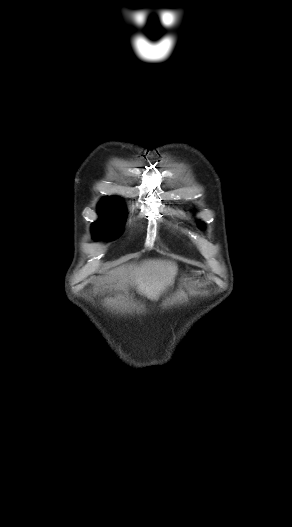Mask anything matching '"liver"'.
<instances>
[{
    "instance_id": "liver-1",
    "label": "liver",
    "mask_w": 292,
    "mask_h": 527,
    "mask_svg": "<svg viewBox=\"0 0 292 527\" xmlns=\"http://www.w3.org/2000/svg\"><path fill=\"white\" fill-rule=\"evenodd\" d=\"M177 265L168 260L148 259L139 264L123 266L110 272L108 278L135 286L148 299L157 300L174 283Z\"/></svg>"
}]
</instances>
